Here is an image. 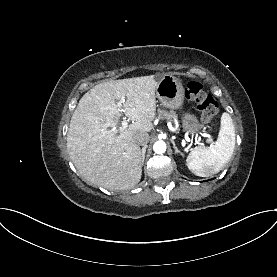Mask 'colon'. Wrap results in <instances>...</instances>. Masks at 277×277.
<instances>
[{"label": "colon", "mask_w": 277, "mask_h": 277, "mask_svg": "<svg viewBox=\"0 0 277 277\" xmlns=\"http://www.w3.org/2000/svg\"><path fill=\"white\" fill-rule=\"evenodd\" d=\"M185 95L188 100L195 103L201 110V120L205 125L211 124L219 114L216 99L206 93L198 81H190L185 87Z\"/></svg>", "instance_id": "5ec220e1"}]
</instances>
